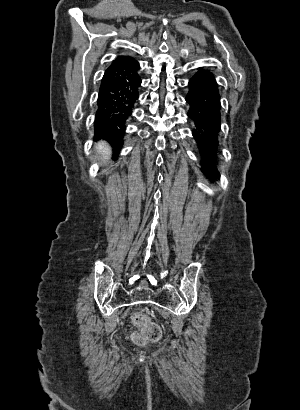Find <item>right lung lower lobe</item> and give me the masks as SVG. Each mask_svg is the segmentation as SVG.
Returning a JSON list of instances; mask_svg holds the SVG:
<instances>
[{"label": "right lung lower lobe", "mask_w": 300, "mask_h": 410, "mask_svg": "<svg viewBox=\"0 0 300 410\" xmlns=\"http://www.w3.org/2000/svg\"><path fill=\"white\" fill-rule=\"evenodd\" d=\"M139 63L131 58L114 61L105 71L99 88L94 122L95 134L108 140L117 153L123 145L126 120L139 98Z\"/></svg>", "instance_id": "right-lung-lower-lobe-1"}]
</instances>
